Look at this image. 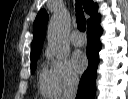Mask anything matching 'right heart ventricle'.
<instances>
[{"instance_id":"right-heart-ventricle-1","label":"right heart ventricle","mask_w":128,"mask_h":99,"mask_svg":"<svg viewBox=\"0 0 128 99\" xmlns=\"http://www.w3.org/2000/svg\"><path fill=\"white\" fill-rule=\"evenodd\" d=\"M39 89L43 96L54 97L59 94L53 81L50 70L42 68L39 74Z\"/></svg>"}]
</instances>
